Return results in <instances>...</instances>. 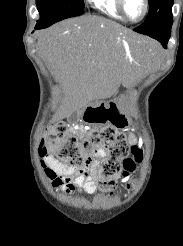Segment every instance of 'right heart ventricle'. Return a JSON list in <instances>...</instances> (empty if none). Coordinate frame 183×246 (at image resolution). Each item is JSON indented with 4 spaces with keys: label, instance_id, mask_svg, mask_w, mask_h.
Returning a JSON list of instances; mask_svg holds the SVG:
<instances>
[{
    "label": "right heart ventricle",
    "instance_id": "e07e8e85",
    "mask_svg": "<svg viewBox=\"0 0 183 246\" xmlns=\"http://www.w3.org/2000/svg\"><path fill=\"white\" fill-rule=\"evenodd\" d=\"M93 8L99 12L120 21H125L121 15L116 0H88Z\"/></svg>",
    "mask_w": 183,
    "mask_h": 246
}]
</instances>
